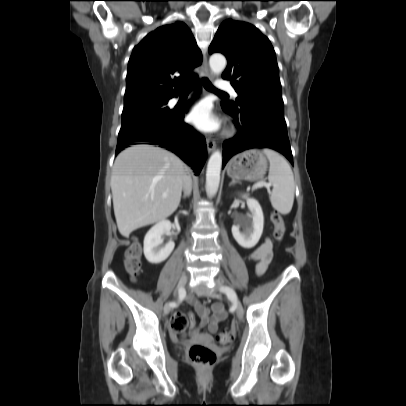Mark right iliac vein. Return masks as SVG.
<instances>
[{"label":"right iliac vein","instance_id":"1","mask_svg":"<svg viewBox=\"0 0 406 406\" xmlns=\"http://www.w3.org/2000/svg\"><path fill=\"white\" fill-rule=\"evenodd\" d=\"M186 283H187V276H186V275H182V276L180 277V279H179V282H178V285H177V289H178V290L183 289L184 286L186 285ZM170 311H171V306H170V303L167 302V303L164 305V314H168Z\"/></svg>","mask_w":406,"mask_h":406}]
</instances>
